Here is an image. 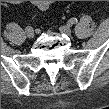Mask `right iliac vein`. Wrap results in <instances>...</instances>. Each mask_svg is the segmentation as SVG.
Returning <instances> with one entry per match:
<instances>
[{
	"label": "right iliac vein",
	"instance_id": "1",
	"mask_svg": "<svg viewBox=\"0 0 109 109\" xmlns=\"http://www.w3.org/2000/svg\"><path fill=\"white\" fill-rule=\"evenodd\" d=\"M26 35H27L28 38H34L35 32H34L33 29L26 30Z\"/></svg>",
	"mask_w": 109,
	"mask_h": 109
}]
</instances>
